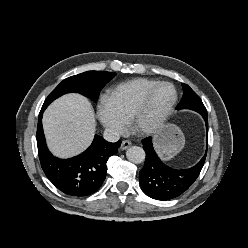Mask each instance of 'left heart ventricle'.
<instances>
[{"mask_svg": "<svg viewBox=\"0 0 248 248\" xmlns=\"http://www.w3.org/2000/svg\"><path fill=\"white\" fill-rule=\"evenodd\" d=\"M173 98V90L168 86L160 87L155 93L150 107L145 115L144 122H149L163 112Z\"/></svg>", "mask_w": 248, "mask_h": 248, "instance_id": "obj_1", "label": "left heart ventricle"}]
</instances>
